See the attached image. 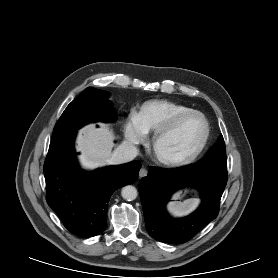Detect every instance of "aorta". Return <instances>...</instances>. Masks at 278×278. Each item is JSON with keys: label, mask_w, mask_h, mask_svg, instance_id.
Instances as JSON below:
<instances>
[{"label": "aorta", "mask_w": 278, "mask_h": 278, "mask_svg": "<svg viewBox=\"0 0 278 278\" xmlns=\"http://www.w3.org/2000/svg\"><path fill=\"white\" fill-rule=\"evenodd\" d=\"M137 189L132 185H127L122 188L121 195L127 201H133L137 197Z\"/></svg>", "instance_id": "762f6f07"}]
</instances>
